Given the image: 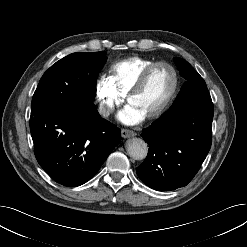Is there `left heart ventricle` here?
<instances>
[{
  "label": "left heart ventricle",
  "instance_id": "obj_1",
  "mask_svg": "<svg viewBox=\"0 0 247 247\" xmlns=\"http://www.w3.org/2000/svg\"><path fill=\"white\" fill-rule=\"evenodd\" d=\"M172 85V71L166 66H159L151 72L141 92L134 96L129 104L146 117L165 102Z\"/></svg>",
  "mask_w": 247,
  "mask_h": 247
}]
</instances>
